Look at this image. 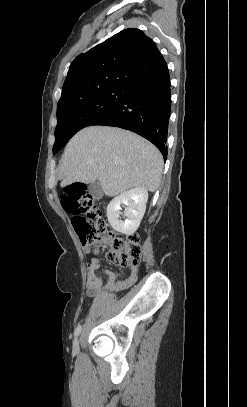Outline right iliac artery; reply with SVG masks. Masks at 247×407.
Listing matches in <instances>:
<instances>
[{
	"label": "right iliac artery",
	"mask_w": 247,
	"mask_h": 407,
	"mask_svg": "<svg viewBox=\"0 0 247 407\" xmlns=\"http://www.w3.org/2000/svg\"><path fill=\"white\" fill-rule=\"evenodd\" d=\"M81 328H82L81 325H78V326L76 327V329H75V331H74V335H75V336H78V335L80 334Z\"/></svg>",
	"instance_id": "82829eb1"
}]
</instances>
